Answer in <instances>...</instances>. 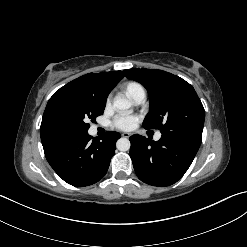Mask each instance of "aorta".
<instances>
[{"label": "aorta", "mask_w": 247, "mask_h": 247, "mask_svg": "<svg viewBox=\"0 0 247 247\" xmlns=\"http://www.w3.org/2000/svg\"><path fill=\"white\" fill-rule=\"evenodd\" d=\"M114 107L118 110L124 111L131 107L132 103L130 100L123 98V97H117L114 100L113 103ZM131 143L128 138L122 137L117 140L116 147L119 151H128L130 149Z\"/></svg>", "instance_id": "762f6f07"}]
</instances>
